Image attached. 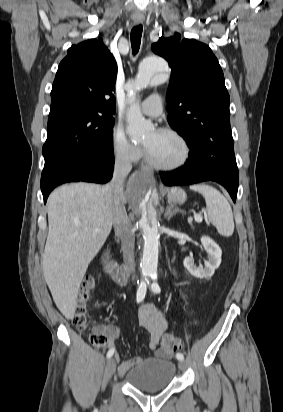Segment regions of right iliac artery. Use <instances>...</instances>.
I'll list each match as a JSON object with an SVG mask.
<instances>
[{
	"label": "right iliac artery",
	"mask_w": 283,
	"mask_h": 412,
	"mask_svg": "<svg viewBox=\"0 0 283 412\" xmlns=\"http://www.w3.org/2000/svg\"><path fill=\"white\" fill-rule=\"evenodd\" d=\"M146 291H147V286L145 282H141L138 290H137V297H136V301L137 303L141 302L146 295ZM115 349L112 348L107 352V358L112 357V355L114 354Z\"/></svg>",
	"instance_id": "right-iliac-artery-1"
}]
</instances>
